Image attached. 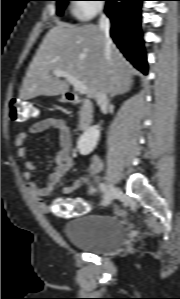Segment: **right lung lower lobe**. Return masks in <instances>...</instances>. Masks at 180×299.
Listing matches in <instances>:
<instances>
[{"label": "right lung lower lobe", "instance_id": "98d812e1", "mask_svg": "<svg viewBox=\"0 0 180 299\" xmlns=\"http://www.w3.org/2000/svg\"><path fill=\"white\" fill-rule=\"evenodd\" d=\"M105 12L112 22L111 37L138 70L147 75L148 65L141 33V2L106 0Z\"/></svg>", "mask_w": 180, "mask_h": 299}]
</instances>
